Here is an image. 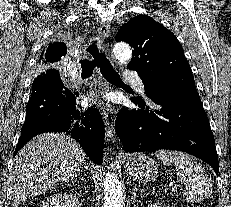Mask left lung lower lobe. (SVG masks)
I'll return each instance as SVG.
<instances>
[{
	"mask_svg": "<svg viewBox=\"0 0 231 207\" xmlns=\"http://www.w3.org/2000/svg\"><path fill=\"white\" fill-rule=\"evenodd\" d=\"M158 105L147 106L132 98L141 109L122 108L116 118L115 130L126 152L159 149L184 151L200 158L219 172L214 136L197 92L176 97L149 96Z\"/></svg>",
	"mask_w": 231,
	"mask_h": 207,
	"instance_id": "0a47b994",
	"label": "left lung lower lobe"
}]
</instances>
